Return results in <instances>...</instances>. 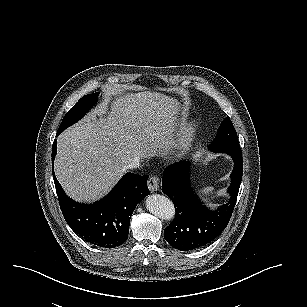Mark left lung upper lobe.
<instances>
[{"mask_svg":"<svg viewBox=\"0 0 307 307\" xmlns=\"http://www.w3.org/2000/svg\"><path fill=\"white\" fill-rule=\"evenodd\" d=\"M209 148L214 152H225L230 155L242 154L237 133L229 117L221 123L218 134Z\"/></svg>","mask_w":307,"mask_h":307,"instance_id":"5c2ea615","label":"left lung upper lobe"}]
</instances>
